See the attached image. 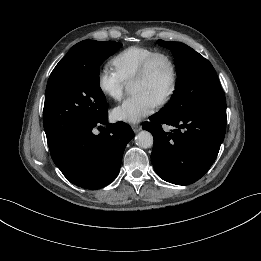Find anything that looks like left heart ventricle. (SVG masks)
Here are the masks:
<instances>
[{
  "mask_svg": "<svg viewBox=\"0 0 261 261\" xmlns=\"http://www.w3.org/2000/svg\"><path fill=\"white\" fill-rule=\"evenodd\" d=\"M170 83V65L164 58H160L154 63L146 79L133 81L131 92L133 94L145 93L158 102L169 89Z\"/></svg>",
  "mask_w": 261,
  "mask_h": 261,
  "instance_id": "1",
  "label": "left heart ventricle"
}]
</instances>
